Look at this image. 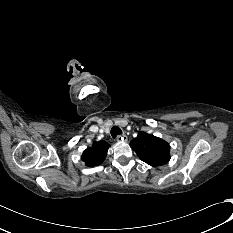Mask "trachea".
Instances as JSON below:
<instances>
[{
	"label": "trachea",
	"mask_w": 233,
	"mask_h": 233,
	"mask_svg": "<svg viewBox=\"0 0 233 233\" xmlns=\"http://www.w3.org/2000/svg\"><path fill=\"white\" fill-rule=\"evenodd\" d=\"M122 134L121 129L118 126H113L111 129V135L113 138H116V136Z\"/></svg>",
	"instance_id": "obj_1"
}]
</instances>
